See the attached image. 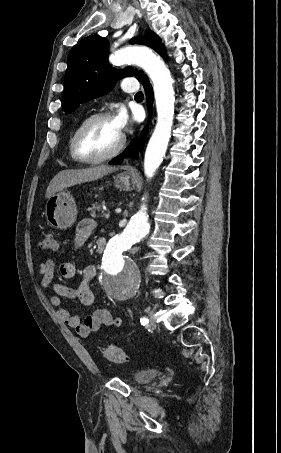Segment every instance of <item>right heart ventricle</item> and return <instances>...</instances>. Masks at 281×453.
<instances>
[{"label": "right heart ventricle", "instance_id": "1", "mask_svg": "<svg viewBox=\"0 0 281 453\" xmlns=\"http://www.w3.org/2000/svg\"><path fill=\"white\" fill-rule=\"evenodd\" d=\"M77 129H75L71 135H70V138H69V148H70V152H71V155L74 159H76L74 157V136H75V132H76Z\"/></svg>", "mask_w": 281, "mask_h": 453}]
</instances>
